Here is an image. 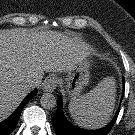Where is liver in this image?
<instances>
[{"instance_id":"6515ba94","label":"liver","mask_w":135,"mask_h":135,"mask_svg":"<svg viewBox=\"0 0 135 135\" xmlns=\"http://www.w3.org/2000/svg\"><path fill=\"white\" fill-rule=\"evenodd\" d=\"M89 55L88 47L77 38L49 31L22 28L0 30V122L8 118L36 86L44 72L66 73Z\"/></svg>"}]
</instances>
